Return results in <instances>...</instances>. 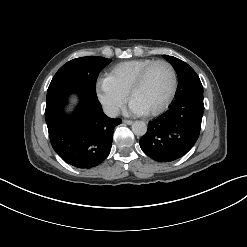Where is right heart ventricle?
<instances>
[{
    "mask_svg": "<svg viewBox=\"0 0 247 247\" xmlns=\"http://www.w3.org/2000/svg\"><path fill=\"white\" fill-rule=\"evenodd\" d=\"M154 61V59L146 58L118 63L110 69L108 77L121 89L128 92L131 84L141 71Z\"/></svg>",
    "mask_w": 247,
    "mask_h": 247,
    "instance_id": "right-heart-ventricle-1",
    "label": "right heart ventricle"
}]
</instances>
